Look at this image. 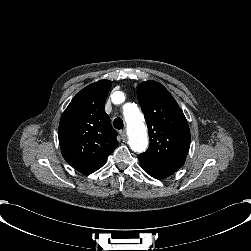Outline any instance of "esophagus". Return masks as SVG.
<instances>
[{
    "mask_svg": "<svg viewBox=\"0 0 251 251\" xmlns=\"http://www.w3.org/2000/svg\"><path fill=\"white\" fill-rule=\"evenodd\" d=\"M120 135H121L122 139H126L127 138L125 130L120 131Z\"/></svg>",
    "mask_w": 251,
    "mask_h": 251,
    "instance_id": "esophagus-1",
    "label": "esophagus"
}]
</instances>
